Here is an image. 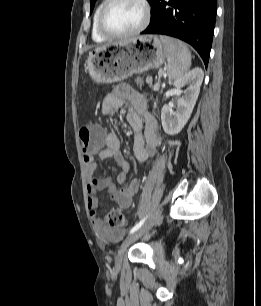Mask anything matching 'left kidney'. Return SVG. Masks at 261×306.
Masks as SVG:
<instances>
[{
    "mask_svg": "<svg viewBox=\"0 0 261 306\" xmlns=\"http://www.w3.org/2000/svg\"><path fill=\"white\" fill-rule=\"evenodd\" d=\"M203 78V70L197 67L173 82L174 89L171 94L177 97V110L174 112L172 106L167 104L161 110L162 127L168 135L180 133L188 122L196 104ZM185 86L187 89L182 91ZM181 93H183L182 96H180Z\"/></svg>",
    "mask_w": 261,
    "mask_h": 306,
    "instance_id": "left-kidney-1",
    "label": "left kidney"
}]
</instances>
